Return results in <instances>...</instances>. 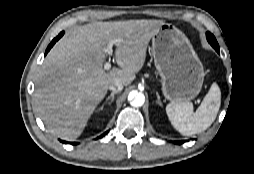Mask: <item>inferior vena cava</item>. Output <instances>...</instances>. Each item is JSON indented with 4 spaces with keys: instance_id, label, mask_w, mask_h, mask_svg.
Instances as JSON below:
<instances>
[{
    "instance_id": "inferior-vena-cava-1",
    "label": "inferior vena cava",
    "mask_w": 254,
    "mask_h": 174,
    "mask_svg": "<svg viewBox=\"0 0 254 174\" xmlns=\"http://www.w3.org/2000/svg\"><path fill=\"white\" fill-rule=\"evenodd\" d=\"M123 83L119 81H115L109 85V90L112 92H120L123 89Z\"/></svg>"
}]
</instances>
